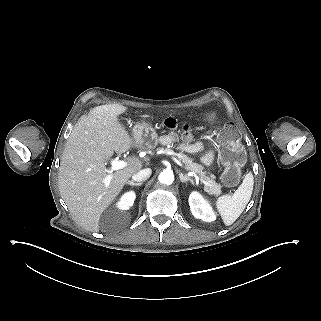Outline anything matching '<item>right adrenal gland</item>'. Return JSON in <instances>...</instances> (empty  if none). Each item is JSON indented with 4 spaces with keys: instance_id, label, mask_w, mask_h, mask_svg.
Listing matches in <instances>:
<instances>
[{
    "instance_id": "right-adrenal-gland-1",
    "label": "right adrenal gland",
    "mask_w": 321,
    "mask_h": 321,
    "mask_svg": "<svg viewBox=\"0 0 321 321\" xmlns=\"http://www.w3.org/2000/svg\"><path fill=\"white\" fill-rule=\"evenodd\" d=\"M125 184L131 185V186H141L143 183L139 182V183H135L132 180L130 181H126Z\"/></svg>"
}]
</instances>
